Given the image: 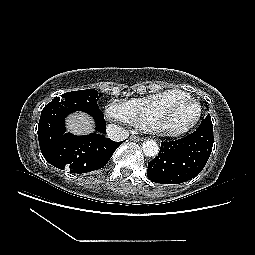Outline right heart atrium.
<instances>
[{
  "label": "right heart atrium",
  "instance_id": "obj_1",
  "mask_svg": "<svg viewBox=\"0 0 255 255\" xmlns=\"http://www.w3.org/2000/svg\"><path fill=\"white\" fill-rule=\"evenodd\" d=\"M105 111L109 118L116 121L127 123L124 102L110 101L107 103Z\"/></svg>",
  "mask_w": 255,
  "mask_h": 255
}]
</instances>
